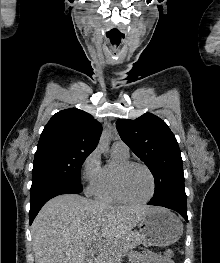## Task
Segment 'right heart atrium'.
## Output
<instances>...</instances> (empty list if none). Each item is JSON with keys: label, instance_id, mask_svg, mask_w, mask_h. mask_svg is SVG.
Here are the masks:
<instances>
[{"label": "right heart atrium", "instance_id": "1", "mask_svg": "<svg viewBox=\"0 0 220 263\" xmlns=\"http://www.w3.org/2000/svg\"><path fill=\"white\" fill-rule=\"evenodd\" d=\"M100 152L94 149L83 161L81 178L88 194H94L95 188L101 176Z\"/></svg>", "mask_w": 220, "mask_h": 263}]
</instances>
